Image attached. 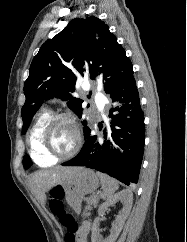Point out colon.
Instances as JSON below:
<instances>
[{"label":"colon","mask_w":187,"mask_h":242,"mask_svg":"<svg viewBox=\"0 0 187 242\" xmlns=\"http://www.w3.org/2000/svg\"><path fill=\"white\" fill-rule=\"evenodd\" d=\"M63 189L55 187L50 191L49 208L58 217L60 223L66 227L65 242H80L77 237L78 225L73 216L65 211L63 203Z\"/></svg>","instance_id":"obj_1"}]
</instances>
